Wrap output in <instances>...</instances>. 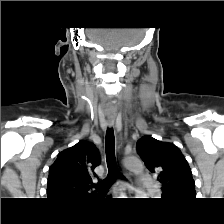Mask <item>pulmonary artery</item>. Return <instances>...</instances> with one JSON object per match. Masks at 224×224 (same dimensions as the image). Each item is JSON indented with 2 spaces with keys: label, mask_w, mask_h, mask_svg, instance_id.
<instances>
[{
  "label": "pulmonary artery",
  "mask_w": 224,
  "mask_h": 224,
  "mask_svg": "<svg viewBox=\"0 0 224 224\" xmlns=\"http://www.w3.org/2000/svg\"><path fill=\"white\" fill-rule=\"evenodd\" d=\"M142 183L146 188H152V187L156 186V184H154L152 178L145 174L142 175Z\"/></svg>",
  "instance_id": "1"
}]
</instances>
